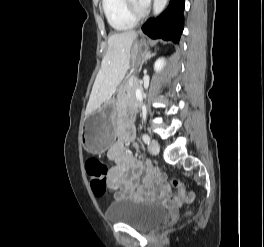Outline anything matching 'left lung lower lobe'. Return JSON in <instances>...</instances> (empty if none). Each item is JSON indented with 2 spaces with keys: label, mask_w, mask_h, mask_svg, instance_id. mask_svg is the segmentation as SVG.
<instances>
[{
  "label": "left lung lower lobe",
  "mask_w": 264,
  "mask_h": 247,
  "mask_svg": "<svg viewBox=\"0 0 264 247\" xmlns=\"http://www.w3.org/2000/svg\"><path fill=\"white\" fill-rule=\"evenodd\" d=\"M184 0H170L167 10L156 19H149L142 27L153 39L161 38L178 43L184 28Z\"/></svg>",
  "instance_id": "obj_1"
}]
</instances>
